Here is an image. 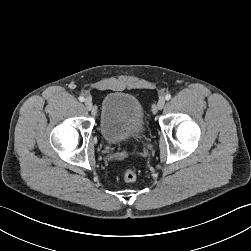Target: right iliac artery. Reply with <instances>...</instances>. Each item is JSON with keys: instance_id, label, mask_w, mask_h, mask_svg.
Returning a JSON list of instances; mask_svg holds the SVG:
<instances>
[{"instance_id": "1", "label": "right iliac artery", "mask_w": 251, "mask_h": 251, "mask_svg": "<svg viewBox=\"0 0 251 251\" xmlns=\"http://www.w3.org/2000/svg\"><path fill=\"white\" fill-rule=\"evenodd\" d=\"M78 99H79L80 102H84L85 101V98L83 96H80Z\"/></svg>"}]
</instances>
